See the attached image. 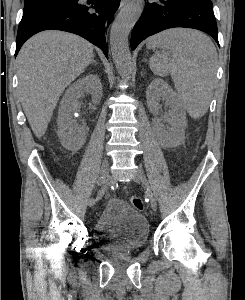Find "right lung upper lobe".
Listing matches in <instances>:
<instances>
[{
  "label": "right lung upper lobe",
  "instance_id": "obj_1",
  "mask_svg": "<svg viewBox=\"0 0 245 300\" xmlns=\"http://www.w3.org/2000/svg\"><path fill=\"white\" fill-rule=\"evenodd\" d=\"M30 1H34V0H25V2H30Z\"/></svg>",
  "mask_w": 245,
  "mask_h": 300
}]
</instances>
